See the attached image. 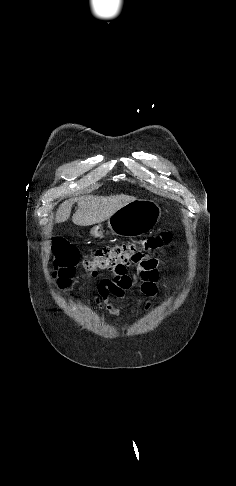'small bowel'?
<instances>
[{"instance_id":"c3829d8e","label":"small bowel","mask_w":236,"mask_h":486,"mask_svg":"<svg viewBox=\"0 0 236 486\" xmlns=\"http://www.w3.org/2000/svg\"><path fill=\"white\" fill-rule=\"evenodd\" d=\"M135 265V270L131 271V265ZM161 280L159 263L156 259L140 258L133 263L123 265L119 270L114 271L112 278L100 280L97 286L96 305L106 309L109 313L119 316L128 313L129 310L115 307L110 302V297L126 299L127 291L135 286H139L141 292L152 299L158 292V282ZM151 301L146 302L145 310L149 309Z\"/></svg>"}]
</instances>
